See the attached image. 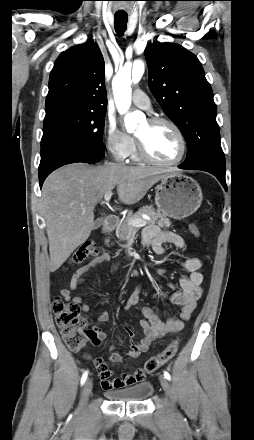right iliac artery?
I'll return each mask as SVG.
<instances>
[{
	"instance_id": "obj_1",
	"label": "right iliac artery",
	"mask_w": 254,
	"mask_h": 440,
	"mask_svg": "<svg viewBox=\"0 0 254 440\" xmlns=\"http://www.w3.org/2000/svg\"><path fill=\"white\" fill-rule=\"evenodd\" d=\"M87 376H88V371L84 372V374L82 375V378H81V385L84 384V382H85L86 379H87Z\"/></svg>"
}]
</instances>
